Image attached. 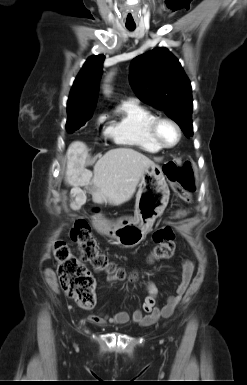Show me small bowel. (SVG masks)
<instances>
[{
    "mask_svg": "<svg viewBox=\"0 0 247 385\" xmlns=\"http://www.w3.org/2000/svg\"><path fill=\"white\" fill-rule=\"evenodd\" d=\"M187 214L188 211L186 210L180 211V216H185ZM194 268L195 264L190 259H185L181 262L180 282L176 288L175 294L168 298L167 303L163 307L156 306L157 288L154 283L149 281L146 283L148 294L141 309H137L132 313L128 311H119L114 315L105 313L91 314L88 316V320L99 325L106 323L126 324L130 321L140 325H149L159 318H168L180 304L193 276ZM114 279L115 277L111 275L108 276V281H113Z\"/></svg>",
    "mask_w": 247,
    "mask_h": 385,
    "instance_id": "1",
    "label": "small bowel"
}]
</instances>
